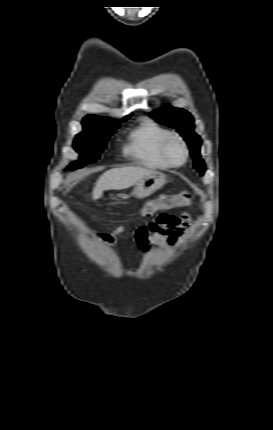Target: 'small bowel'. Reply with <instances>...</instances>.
<instances>
[{
	"instance_id": "small-bowel-1",
	"label": "small bowel",
	"mask_w": 273,
	"mask_h": 430,
	"mask_svg": "<svg viewBox=\"0 0 273 430\" xmlns=\"http://www.w3.org/2000/svg\"><path fill=\"white\" fill-rule=\"evenodd\" d=\"M190 220L187 214L180 218L169 215H161L146 226H142L133 232L138 243L139 252L145 256L151 245L164 249L176 246L180 237L189 229ZM127 231L124 226H119L111 233L100 234L99 238L107 244H115L116 238Z\"/></svg>"
}]
</instances>
